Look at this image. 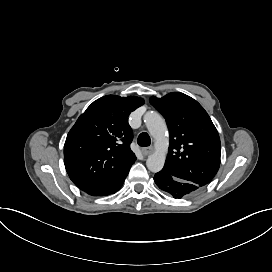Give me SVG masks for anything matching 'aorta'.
I'll use <instances>...</instances> for the list:
<instances>
[{
	"label": "aorta",
	"mask_w": 272,
	"mask_h": 272,
	"mask_svg": "<svg viewBox=\"0 0 272 272\" xmlns=\"http://www.w3.org/2000/svg\"><path fill=\"white\" fill-rule=\"evenodd\" d=\"M149 135L154 141V152L148 156L146 164L150 171L158 172L165 164L169 147V132L163 117L153 111L144 115Z\"/></svg>",
	"instance_id": "aorta-1"
}]
</instances>
